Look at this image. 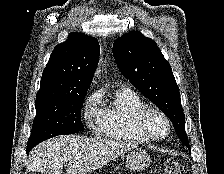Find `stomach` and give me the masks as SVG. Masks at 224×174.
I'll return each mask as SVG.
<instances>
[{"instance_id":"obj_1","label":"stomach","mask_w":224,"mask_h":174,"mask_svg":"<svg viewBox=\"0 0 224 174\" xmlns=\"http://www.w3.org/2000/svg\"><path fill=\"white\" fill-rule=\"evenodd\" d=\"M151 162L150 155L147 151L142 149H136L130 151L126 155V164L127 167L134 171H142L148 167Z\"/></svg>"}]
</instances>
